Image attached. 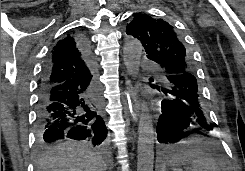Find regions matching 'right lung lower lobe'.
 <instances>
[{
  "mask_svg": "<svg viewBox=\"0 0 245 171\" xmlns=\"http://www.w3.org/2000/svg\"><path fill=\"white\" fill-rule=\"evenodd\" d=\"M79 47L90 64V75L47 84L48 61L44 66L37 106V138L40 142L70 138L98 145L107 136L91 49L83 38H79Z\"/></svg>",
  "mask_w": 245,
  "mask_h": 171,
  "instance_id": "obj_1",
  "label": "right lung lower lobe"
}]
</instances>
